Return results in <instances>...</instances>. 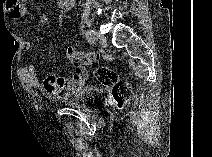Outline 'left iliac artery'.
Here are the masks:
<instances>
[{"label": "left iliac artery", "mask_w": 212, "mask_h": 157, "mask_svg": "<svg viewBox=\"0 0 212 157\" xmlns=\"http://www.w3.org/2000/svg\"><path fill=\"white\" fill-rule=\"evenodd\" d=\"M85 37L87 40L89 41H94L96 40L95 37H94V31L93 30H88L85 32Z\"/></svg>", "instance_id": "1"}]
</instances>
